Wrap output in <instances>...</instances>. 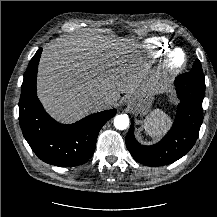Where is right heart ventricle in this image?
I'll use <instances>...</instances> for the list:
<instances>
[{"label":"right heart ventricle","mask_w":217,"mask_h":217,"mask_svg":"<svg viewBox=\"0 0 217 217\" xmlns=\"http://www.w3.org/2000/svg\"><path fill=\"white\" fill-rule=\"evenodd\" d=\"M148 47L155 55L160 56L166 52L167 42L162 38H152L148 43Z\"/></svg>","instance_id":"right-heart-ventricle-1"}]
</instances>
